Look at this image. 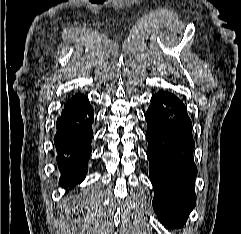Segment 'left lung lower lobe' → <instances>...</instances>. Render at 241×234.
<instances>
[{
	"label": "left lung lower lobe",
	"instance_id": "1",
	"mask_svg": "<svg viewBox=\"0 0 241 234\" xmlns=\"http://www.w3.org/2000/svg\"><path fill=\"white\" fill-rule=\"evenodd\" d=\"M146 121L153 208L165 227H182L196 205L191 121L185 105L164 91L152 96Z\"/></svg>",
	"mask_w": 241,
	"mask_h": 234
}]
</instances>
